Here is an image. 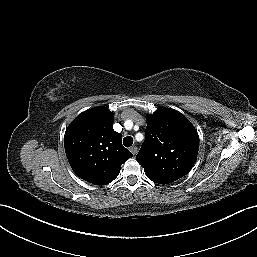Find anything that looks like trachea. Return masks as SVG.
Wrapping results in <instances>:
<instances>
[{"label":"trachea","mask_w":257,"mask_h":257,"mask_svg":"<svg viewBox=\"0 0 257 257\" xmlns=\"http://www.w3.org/2000/svg\"><path fill=\"white\" fill-rule=\"evenodd\" d=\"M132 144H133V138H132V137L127 136V137H125V138L123 139V145H124L125 147H130V146H132Z\"/></svg>","instance_id":"obj_1"}]
</instances>
